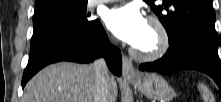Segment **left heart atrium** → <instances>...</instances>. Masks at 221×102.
<instances>
[{"label": "left heart atrium", "mask_w": 221, "mask_h": 102, "mask_svg": "<svg viewBox=\"0 0 221 102\" xmlns=\"http://www.w3.org/2000/svg\"><path fill=\"white\" fill-rule=\"evenodd\" d=\"M105 23L117 38L133 46L141 41L148 26L140 10L133 5L111 9L105 16Z\"/></svg>", "instance_id": "left-heart-atrium-1"}]
</instances>
